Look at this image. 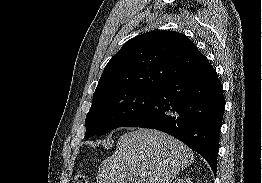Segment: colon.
Wrapping results in <instances>:
<instances>
[{
  "label": "colon",
  "mask_w": 262,
  "mask_h": 183,
  "mask_svg": "<svg viewBox=\"0 0 262 183\" xmlns=\"http://www.w3.org/2000/svg\"><path fill=\"white\" fill-rule=\"evenodd\" d=\"M74 183H90L89 178L85 175H78L75 180Z\"/></svg>",
  "instance_id": "colon-1"
}]
</instances>
